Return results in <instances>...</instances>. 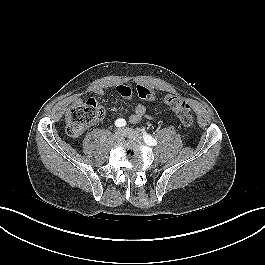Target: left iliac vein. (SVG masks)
<instances>
[{"mask_svg":"<svg viewBox=\"0 0 265 265\" xmlns=\"http://www.w3.org/2000/svg\"><path fill=\"white\" fill-rule=\"evenodd\" d=\"M125 134L128 138L135 139V140H142V135L140 134V132L134 129L126 128Z\"/></svg>","mask_w":265,"mask_h":265,"instance_id":"1","label":"left iliac vein"}]
</instances>
